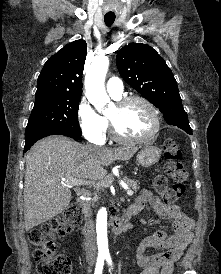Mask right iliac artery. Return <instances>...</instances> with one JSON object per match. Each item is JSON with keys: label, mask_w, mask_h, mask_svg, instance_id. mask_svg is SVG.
Masks as SVG:
<instances>
[{"label": "right iliac artery", "mask_w": 221, "mask_h": 274, "mask_svg": "<svg viewBox=\"0 0 221 274\" xmlns=\"http://www.w3.org/2000/svg\"><path fill=\"white\" fill-rule=\"evenodd\" d=\"M104 260H105L104 256H98L94 274H102L103 266H104Z\"/></svg>", "instance_id": "1"}]
</instances>
